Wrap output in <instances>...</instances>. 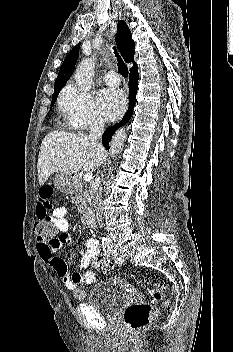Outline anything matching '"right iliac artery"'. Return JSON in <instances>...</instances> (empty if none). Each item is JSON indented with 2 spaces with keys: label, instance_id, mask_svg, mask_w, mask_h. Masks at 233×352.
Listing matches in <instances>:
<instances>
[{
  "label": "right iliac artery",
  "instance_id": "1",
  "mask_svg": "<svg viewBox=\"0 0 233 352\" xmlns=\"http://www.w3.org/2000/svg\"><path fill=\"white\" fill-rule=\"evenodd\" d=\"M103 250L105 253H109L111 251V247L106 245V246H104Z\"/></svg>",
  "mask_w": 233,
  "mask_h": 352
}]
</instances>
